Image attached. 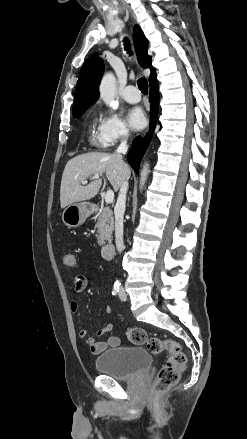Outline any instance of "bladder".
Segmentation results:
<instances>
[{"instance_id": "bladder-1", "label": "bladder", "mask_w": 247, "mask_h": 439, "mask_svg": "<svg viewBox=\"0 0 247 439\" xmlns=\"http://www.w3.org/2000/svg\"><path fill=\"white\" fill-rule=\"evenodd\" d=\"M152 357L140 347H116L101 353L95 360L99 373L117 380L131 381L148 371Z\"/></svg>"}]
</instances>
